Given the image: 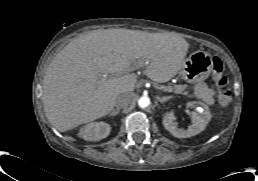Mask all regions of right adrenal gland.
Returning a JSON list of instances; mask_svg holds the SVG:
<instances>
[{"label":"right adrenal gland","instance_id":"2a0ac1e0","mask_svg":"<svg viewBox=\"0 0 258 181\" xmlns=\"http://www.w3.org/2000/svg\"><path fill=\"white\" fill-rule=\"evenodd\" d=\"M120 113L119 109H113L112 112L109 114V117L116 116Z\"/></svg>","mask_w":258,"mask_h":181}]
</instances>
